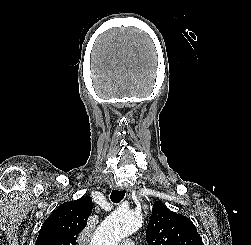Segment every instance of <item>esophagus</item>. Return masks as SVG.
Returning a JSON list of instances; mask_svg holds the SVG:
<instances>
[{"label": "esophagus", "mask_w": 251, "mask_h": 245, "mask_svg": "<svg viewBox=\"0 0 251 245\" xmlns=\"http://www.w3.org/2000/svg\"><path fill=\"white\" fill-rule=\"evenodd\" d=\"M125 190H126V195L128 197H131V195H132V189H131V187H126Z\"/></svg>", "instance_id": "34e87169"}]
</instances>
